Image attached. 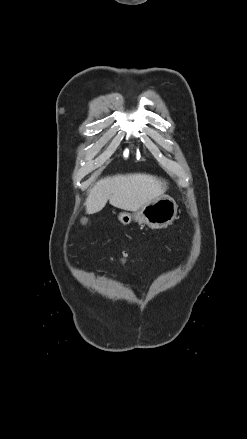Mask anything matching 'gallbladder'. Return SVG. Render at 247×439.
<instances>
[{"label":"gallbladder","mask_w":247,"mask_h":439,"mask_svg":"<svg viewBox=\"0 0 247 439\" xmlns=\"http://www.w3.org/2000/svg\"><path fill=\"white\" fill-rule=\"evenodd\" d=\"M87 221H88V219H87V218H83V219L81 220L82 224H86V223H87Z\"/></svg>","instance_id":"obj_1"}]
</instances>
